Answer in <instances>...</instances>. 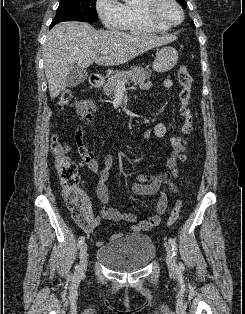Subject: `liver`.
Segmentation results:
<instances>
[{
	"label": "liver",
	"instance_id": "6515ba94",
	"mask_svg": "<svg viewBox=\"0 0 245 314\" xmlns=\"http://www.w3.org/2000/svg\"><path fill=\"white\" fill-rule=\"evenodd\" d=\"M176 39L139 32L95 30L86 22L68 21L55 25L47 35L43 49L44 71L52 99L67 86L66 78L77 65H121L155 47ZM102 50L108 53L98 56Z\"/></svg>",
	"mask_w": 245,
	"mask_h": 314
}]
</instances>
